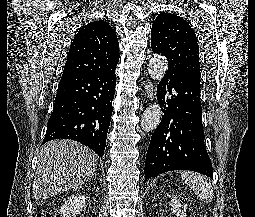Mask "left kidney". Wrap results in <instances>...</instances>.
I'll return each mask as SVG.
<instances>
[{
	"instance_id": "obj_1",
	"label": "left kidney",
	"mask_w": 255,
	"mask_h": 217,
	"mask_svg": "<svg viewBox=\"0 0 255 217\" xmlns=\"http://www.w3.org/2000/svg\"><path fill=\"white\" fill-rule=\"evenodd\" d=\"M171 210H172V212L173 213H176L177 214V217H186L187 215H186V213H185V211H186V209H187V205H183V209H184V211L182 210L181 211V209H180V207H181V203H180V200L178 199V197L177 196H174L173 198H172V200H171Z\"/></svg>"
}]
</instances>
